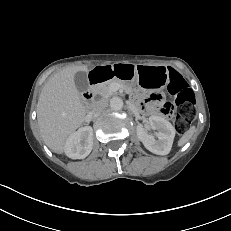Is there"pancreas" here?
Wrapping results in <instances>:
<instances>
[{
    "instance_id": "1",
    "label": "pancreas",
    "mask_w": 231,
    "mask_h": 231,
    "mask_svg": "<svg viewBox=\"0 0 231 231\" xmlns=\"http://www.w3.org/2000/svg\"><path fill=\"white\" fill-rule=\"evenodd\" d=\"M113 84H117L119 87L123 88L127 93L132 92V88L125 84L124 82L120 81L119 79H114L99 86V92L102 96L108 97L112 94L111 86Z\"/></svg>"
}]
</instances>
